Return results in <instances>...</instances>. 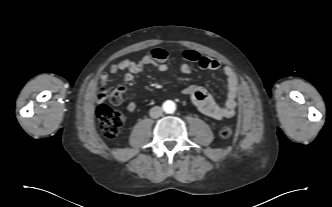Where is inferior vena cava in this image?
<instances>
[{"instance_id":"602c4592","label":"inferior vena cava","mask_w":332,"mask_h":207,"mask_svg":"<svg viewBox=\"0 0 332 207\" xmlns=\"http://www.w3.org/2000/svg\"><path fill=\"white\" fill-rule=\"evenodd\" d=\"M162 114H163V110L159 106H155V107L150 109V117L151 118H159V117L162 116Z\"/></svg>"}]
</instances>
